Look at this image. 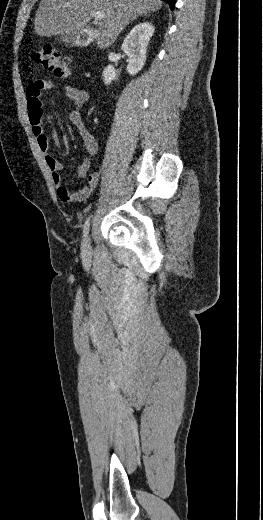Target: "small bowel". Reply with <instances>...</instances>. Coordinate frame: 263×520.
Returning a JSON list of instances; mask_svg holds the SVG:
<instances>
[{
	"mask_svg": "<svg viewBox=\"0 0 263 520\" xmlns=\"http://www.w3.org/2000/svg\"><path fill=\"white\" fill-rule=\"evenodd\" d=\"M53 88H60L62 93L69 98L77 108L86 104L89 100V93L71 85H57L53 81L41 79L32 81L26 90L28 116L31 129L37 140L38 147L44 155L45 164L51 172L52 181L57 188L58 197L63 202H82L90 198L99 183V173H89L91 156L97 152L98 143L85 126L80 112L78 110L72 111L69 114V120L78 129L84 147L90 157L85 159L78 167L79 177L86 178L87 184L77 191H71L68 187L63 185V179L60 174L62 164L49 153V139L43 129L45 113L42 105V93L45 90ZM52 138L56 143H59V138L55 132H52Z\"/></svg>",
	"mask_w": 263,
	"mask_h": 520,
	"instance_id": "1",
	"label": "small bowel"
}]
</instances>
